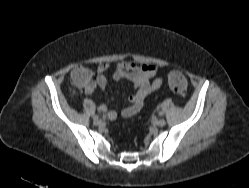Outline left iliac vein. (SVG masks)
Masks as SVG:
<instances>
[{
    "label": "left iliac vein",
    "mask_w": 249,
    "mask_h": 188,
    "mask_svg": "<svg viewBox=\"0 0 249 188\" xmlns=\"http://www.w3.org/2000/svg\"><path fill=\"white\" fill-rule=\"evenodd\" d=\"M157 126L163 127L166 124V121L164 119H159L156 121Z\"/></svg>",
    "instance_id": "4c4485c4"
}]
</instances>
